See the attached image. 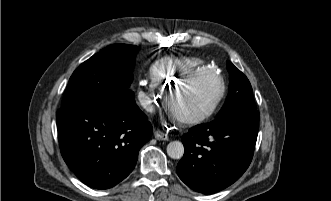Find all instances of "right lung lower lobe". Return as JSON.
Returning <instances> with one entry per match:
<instances>
[{"instance_id": "right-lung-lower-lobe-1", "label": "right lung lower lobe", "mask_w": 331, "mask_h": 201, "mask_svg": "<svg viewBox=\"0 0 331 201\" xmlns=\"http://www.w3.org/2000/svg\"><path fill=\"white\" fill-rule=\"evenodd\" d=\"M61 154L86 185L108 189L134 169L152 126L131 90L116 91L61 108L57 114Z\"/></svg>"}]
</instances>
